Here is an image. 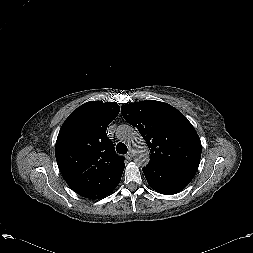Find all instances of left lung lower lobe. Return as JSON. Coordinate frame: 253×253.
Segmentation results:
<instances>
[{
	"instance_id": "left-lung-lower-lobe-1",
	"label": "left lung lower lobe",
	"mask_w": 253,
	"mask_h": 253,
	"mask_svg": "<svg viewBox=\"0 0 253 253\" xmlns=\"http://www.w3.org/2000/svg\"><path fill=\"white\" fill-rule=\"evenodd\" d=\"M148 184L157 192L172 195L182 191L197 168L179 164L148 163L143 169Z\"/></svg>"
}]
</instances>
